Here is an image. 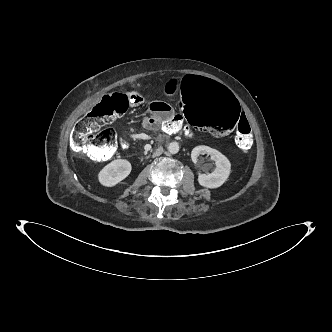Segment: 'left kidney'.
Here are the masks:
<instances>
[{
  "label": "left kidney",
  "instance_id": "obj_1",
  "mask_svg": "<svg viewBox=\"0 0 332 332\" xmlns=\"http://www.w3.org/2000/svg\"><path fill=\"white\" fill-rule=\"evenodd\" d=\"M205 154L209 155L210 159L215 162L216 168L209 174H199L198 182L206 188H218L228 179L231 163L226 156L216 149L204 145L196 146L191 152V159L193 163L200 165L203 170L208 169V166L203 165V161L199 159V156Z\"/></svg>",
  "mask_w": 332,
  "mask_h": 332
}]
</instances>
